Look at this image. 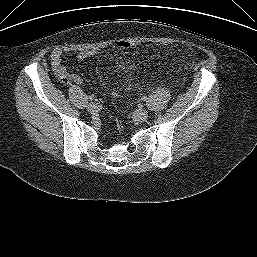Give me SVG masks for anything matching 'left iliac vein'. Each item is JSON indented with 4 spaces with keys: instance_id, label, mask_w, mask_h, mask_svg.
Instances as JSON below:
<instances>
[{
    "instance_id": "left-iliac-vein-1",
    "label": "left iliac vein",
    "mask_w": 257,
    "mask_h": 257,
    "mask_svg": "<svg viewBox=\"0 0 257 257\" xmlns=\"http://www.w3.org/2000/svg\"><path fill=\"white\" fill-rule=\"evenodd\" d=\"M135 119L139 122H143L148 118V112L145 109H139L135 112Z\"/></svg>"
}]
</instances>
